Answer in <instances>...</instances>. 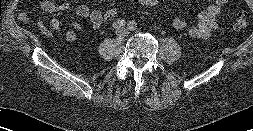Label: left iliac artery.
<instances>
[{
	"label": "left iliac artery",
	"instance_id": "44dca946",
	"mask_svg": "<svg viewBox=\"0 0 253 131\" xmlns=\"http://www.w3.org/2000/svg\"><path fill=\"white\" fill-rule=\"evenodd\" d=\"M127 27L129 30H135L137 28V23L135 21H130Z\"/></svg>",
	"mask_w": 253,
	"mask_h": 131
}]
</instances>
